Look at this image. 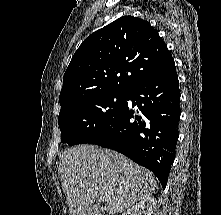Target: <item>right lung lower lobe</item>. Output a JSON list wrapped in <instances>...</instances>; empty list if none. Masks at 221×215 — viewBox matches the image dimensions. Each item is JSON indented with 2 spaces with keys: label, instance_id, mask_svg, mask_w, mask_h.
Returning <instances> with one entry per match:
<instances>
[{
  "label": "right lung lower lobe",
  "instance_id": "right-lung-lower-lobe-1",
  "mask_svg": "<svg viewBox=\"0 0 221 215\" xmlns=\"http://www.w3.org/2000/svg\"><path fill=\"white\" fill-rule=\"evenodd\" d=\"M126 105L113 127L89 144L116 150L150 169L163 187L174 159L180 117L179 81L174 60L126 93Z\"/></svg>",
  "mask_w": 221,
  "mask_h": 215
}]
</instances>
